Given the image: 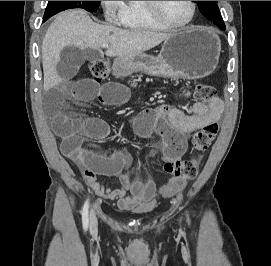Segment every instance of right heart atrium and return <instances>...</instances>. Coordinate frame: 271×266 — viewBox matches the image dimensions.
<instances>
[{"instance_id": "right-heart-atrium-1", "label": "right heart atrium", "mask_w": 271, "mask_h": 266, "mask_svg": "<svg viewBox=\"0 0 271 266\" xmlns=\"http://www.w3.org/2000/svg\"><path fill=\"white\" fill-rule=\"evenodd\" d=\"M107 21L117 24L121 21L125 3L124 1H100Z\"/></svg>"}]
</instances>
